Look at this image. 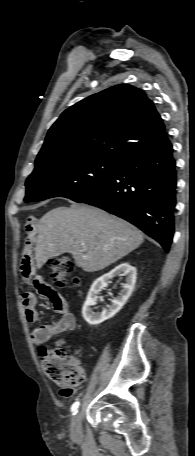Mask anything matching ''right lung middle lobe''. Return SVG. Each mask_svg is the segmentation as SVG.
<instances>
[{"instance_id":"right-lung-middle-lobe-1","label":"right lung middle lobe","mask_w":195,"mask_h":456,"mask_svg":"<svg viewBox=\"0 0 195 456\" xmlns=\"http://www.w3.org/2000/svg\"><path fill=\"white\" fill-rule=\"evenodd\" d=\"M119 162L96 157L61 158L35 166L26 180L25 202L75 199L115 174Z\"/></svg>"}]
</instances>
